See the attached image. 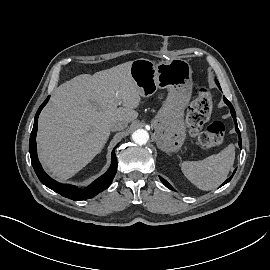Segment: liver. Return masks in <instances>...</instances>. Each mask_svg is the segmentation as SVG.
<instances>
[{"instance_id": "1", "label": "liver", "mask_w": 270, "mask_h": 270, "mask_svg": "<svg viewBox=\"0 0 270 270\" xmlns=\"http://www.w3.org/2000/svg\"><path fill=\"white\" fill-rule=\"evenodd\" d=\"M132 61L61 84L39 117L37 146L43 167L66 180L84 168L106 144L112 123H130L141 101ZM122 107H118V105Z\"/></svg>"}]
</instances>
